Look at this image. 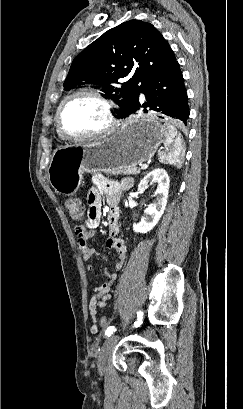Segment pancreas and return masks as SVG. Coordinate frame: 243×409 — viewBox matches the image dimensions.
<instances>
[{"label": "pancreas", "mask_w": 243, "mask_h": 409, "mask_svg": "<svg viewBox=\"0 0 243 409\" xmlns=\"http://www.w3.org/2000/svg\"><path fill=\"white\" fill-rule=\"evenodd\" d=\"M113 174H123V175H137L140 173V169L136 168V167H131V168H125L122 170H118V171H113Z\"/></svg>", "instance_id": "pancreas-1"}]
</instances>
